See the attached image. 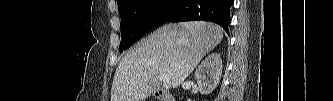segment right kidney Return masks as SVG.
Here are the masks:
<instances>
[{"mask_svg":"<svg viewBox=\"0 0 333 101\" xmlns=\"http://www.w3.org/2000/svg\"><path fill=\"white\" fill-rule=\"evenodd\" d=\"M221 75L222 60L220 54L212 53L208 55L195 71L200 92L203 94L211 93L217 87Z\"/></svg>","mask_w":333,"mask_h":101,"instance_id":"right-kidney-1","label":"right kidney"}]
</instances>
